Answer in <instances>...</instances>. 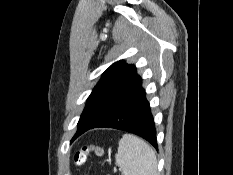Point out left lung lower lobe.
<instances>
[{
  "instance_id": "0a47b994",
  "label": "left lung lower lobe",
  "mask_w": 233,
  "mask_h": 175,
  "mask_svg": "<svg viewBox=\"0 0 233 175\" xmlns=\"http://www.w3.org/2000/svg\"><path fill=\"white\" fill-rule=\"evenodd\" d=\"M102 127L134 133L150 142L157 149L154 120L141 78L125 91L102 117L78 136L89 129Z\"/></svg>"
}]
</instances>
